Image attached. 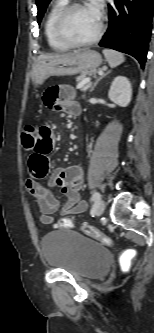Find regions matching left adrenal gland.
Masks as SVG:
<instances>
[{
    "label": "left adrenal gland",
    "instance_id": "1",
    "mask_svg": "<svg viewBox=\"0 0 154 333\" xmlns=\"http://www.w3.org/2000/svg\"><path fill=\"white\" fill-rule=\"evenodd\" d=\"M108 73H109V72H107L105 75H103L100 79H102L103 77H105ZM100 79H98V80L94 83V85H93L92 88H91V91L94 90V88L96 87V85L98 84V82L100 81Z\"/></svg>",
    "mask_w": 154,
    "mask_h": 333
}]
</instances>
